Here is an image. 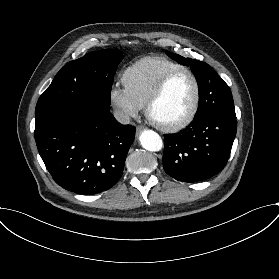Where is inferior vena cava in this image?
I'll list each match as a JSON object with an SVG mask.
<instances>
[{
	"instance_id": "inferior-vena-cava-1",
	"label": "inferior vena cava",
	"mask_w": 279,
	"mask_h": 279,
	"mask_svg": "<svg viewBox=\"0 0 279 279\" xmlns=\"http://www.w3.org/2000/svg\"><path fill=\"white\" fill-rule=\"evenodd\" d=\"M113 114H114V117L116 118V120L119 122V123H121V124H123V125H128V124H130V116L129 115H127L126 113H124L123 111H120V110H115L114 112H113Z\"/></svg>"
}]
</instances>
